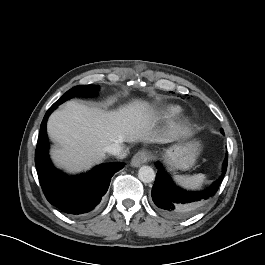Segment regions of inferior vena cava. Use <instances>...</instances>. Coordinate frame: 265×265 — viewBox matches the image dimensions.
<instances>
[{
	"label": "inferior vena cava",
	"mask_w": 265,
	"mask_h": 265,
	"mask_svg": "<svg viewBox=\"0 0 265 265\" xmlns=\"http://www.w3.org/2000/svg\"><path fill=\"white\" fill-rule=\"evenodd\" d=\"M105 152L114 155V156H118L120 158H124L126 156V152L127 150H125L123 148V146L121 145V142H115L112 143L111 145L105 147Z\"/></svg>",
	"instance_id": "obj_1"
}]
</instances>
